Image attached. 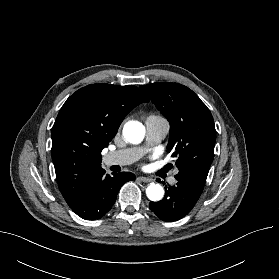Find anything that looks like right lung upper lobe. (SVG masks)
<instances>
[{"label": "right lung upper lobe", "mask_w": 279, "mask_h": 279, "mask_svg": "<svg viewBox=\"0 0 279 279\" xmlns=\"http://www.w3.org/2000/svg\"><path fill=\"white\" fill-rule=\"evenodd\" d=\"M149 102L136 86L90 84L71 95L52 128V159L59 189L70 206L101 168V151L124 117Z\"/></svg>", "instance_id": "cb5924a9"}]
</instances>
